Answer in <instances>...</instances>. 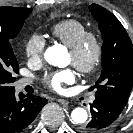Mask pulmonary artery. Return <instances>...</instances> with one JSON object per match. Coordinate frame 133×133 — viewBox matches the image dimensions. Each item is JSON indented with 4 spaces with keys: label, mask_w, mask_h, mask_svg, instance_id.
<instances>
[{
    "label": "pulmonary artery",
    "mask_w": 133,
    "mask_h": 133,
    "mask_svg": "<svg viewBox=\"0 0 133 133\" xmlns=\"http://www.w3.org/2000/svg\"><path fill=\"white\" fill-rule=\"evenodd\" d=\"M31 83V81L29 79H20L17 81L16 83V89L18 91H21L22 89H24L27 85H29ZM91 101H93V99H91Z\"/></svg>",
    "instance_id": "pulmonary-artery-1"
}]
</instances>
